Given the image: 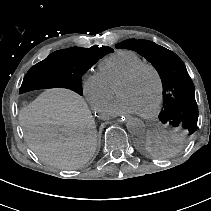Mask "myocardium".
<instances>
[{
	"label": "myocardium",
	"mask_w": 211,
	"mask_h": 211,
	"mask_svg": "<svg viewBox=\"0 0 211 211\" xmlns=\"http://www.w3.org/2000/svg\"><path fill=\"white\" fill-rule=\"evenodd\" d=\"M143 69L151 70L153 74L155 75L157 83H158V95H157V99L154 106L152 107V109H150L147 112L138 113L141 117L149 118V117L154 116L159 111L163 102V98H164V82H163L162 75L160 71L157 69V67L151 63H147V62L141 63L135 66L134 68H132L122 78H120L117 81V86L121 83L131 81Z\"/></svg>",
	"instance_id": "myocardium-1"
}]
</instances>
